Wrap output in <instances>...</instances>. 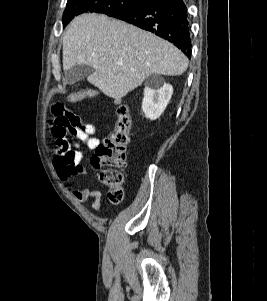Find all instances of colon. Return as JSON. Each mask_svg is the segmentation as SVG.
<instances>
[{"instance_id": "obj_1", "label": "colon", "mask_w": 267, "mask_h": 301, "mask_svg": "<svg viewBox=\"0 0 267 301\" xmlns=\"http://www.w3.org/2000/svg\"><path fill=\"white\" fill-rule=\"evenodd\" d=\"M97 91L84 88L68 95L70 102H80L95 97ZM131 117L128 106L117 104V121L114 130L99 144L91 157V166L99 172L100 181L107 188L109 200L118 204L123 199L125 184L126 147L129 143Z\"/></svg>"}]
</instances>
